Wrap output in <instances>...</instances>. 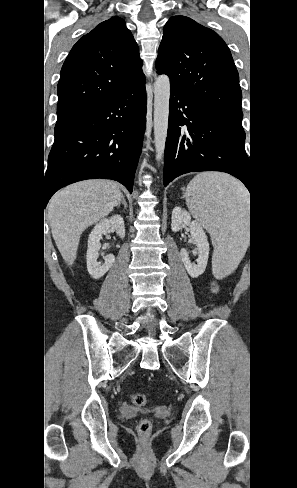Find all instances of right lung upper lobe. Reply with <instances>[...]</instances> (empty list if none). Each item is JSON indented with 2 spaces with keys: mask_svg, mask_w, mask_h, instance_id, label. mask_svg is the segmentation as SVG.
<instances>
[{
  "mask_svg": "<svg viewBox=\"0 0 297 488\" xmlns=\"http://www.w3.org/2000/svg\"><path fill=\"white\" fill-rule=\"evenodd\" d=\"M139 49L122 18L100 23L73 46L57 86L56 127L145 78Z\"/></svg>",
  "mask_w": 297,
  "mask_h": 488,
  "instance_id": "cb5924a9",
  "label": "right lung upper lobe"
}]
</instances>
